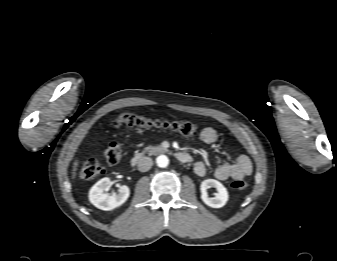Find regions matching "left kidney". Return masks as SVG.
Here are the masks:
<instances>
[{"label": "left kidney", "instance_id": "5707ae66", "mask_svg": "<svg viewBox=\"0 0 337 261\" xmlns=\"http://www.w3.org/2000/svg\"><path fill=\"white\" fill-rule=\"evenodd\" d=\"M215 188L216 193L215 197H209L207 193V189L209 188ZM201 190V199L202 201L212 207V208H221L223 207L226 202L228 201V191L227 189L223 186L222 183L215 179H206L201 183L200 186Z\"/></svg>", "mask_w": 337, "mask_h": 261}]
</instances>
